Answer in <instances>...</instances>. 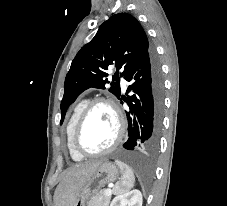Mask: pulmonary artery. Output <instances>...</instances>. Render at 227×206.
<instances>
[{
  "instance_id": "e3ab8cb5",
  "label": "pulmonary artery",
  "mask_w": 227,
  "mask_h": 206,
  "mask_svg": "<svg viewBox=\"0 0 227 206\" xmlns=\"http://www.w3.org/2000/svg\"><path fill=\"white\" fill-rule=\"evenodd\" d=\"M121 86H122L123 89H125L126 86H127V83L124 79H121Z\"/></svg>"
}]
</instances>
